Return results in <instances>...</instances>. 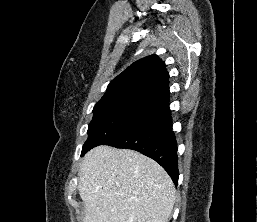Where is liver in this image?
Returning a JSON list of instances; mask_svg holds the SVG:
<instances>
[{
  "instance_id": "obj_1",
  "label": "liver",
  "mask_w": 257,
  "mask_h": 222,
  "mask_svg": "<svg viewBox=\"0 0 257 222\" xmlns=\"http://www.w3.org/2000/svg\"><path fill=\"white\" fill-rule=\"evenodd\" d=\"M83 222H168L176 200L166 171L129 149L97 146L80 165Z\"/></svg>"
}]
</instances>
